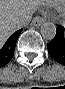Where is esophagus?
<instances>
[{"instance_id":"obj_1","label":"esophagus","mask_w":65,"mask_h":89,"mask_svg":"<svg viewBox=\"0 0 65 89\" xmlns=\"http://www.w3.org/2000/svg\"><path fill=\"white\" fill-rule=\"evenodd\" d=\"M45 22V19L43 17L40 16H36L35 18H33L31 24L35 27H39L42 25V23Z\"/></svg>"}]
</instances>
